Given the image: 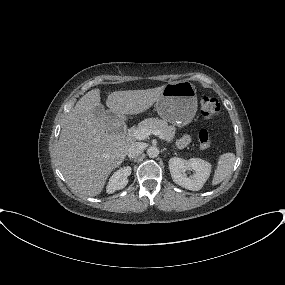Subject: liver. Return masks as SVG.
Segmentation results:
<instances>
[{"mask_svg":"<svg viewBox=\"0 0 285 285\" xmlns=\"http://www.w3.org/2000/svg\"><path fill=\"white\" fill-rule=\"evenodd\" d=\"M165 85L146 90L114 91L106 106L117 116L148 110L160 98ZM100 90L79 99L67 116L58 141L60 171L71 188L86 196L101 193L110 173L124 161L132 140L105 133L93 108L100 105Z\"/></svg>","mask_w":285,"mask_h":285,"instance_id":"liver-1","label":"liver"}]
</instances>
